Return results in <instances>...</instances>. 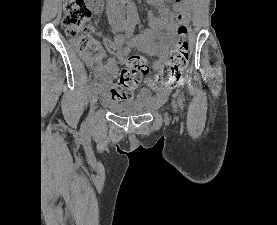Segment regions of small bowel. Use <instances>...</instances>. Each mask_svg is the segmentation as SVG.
<instances>
[{
  "instance_id": "1",
  "label": "small bowel",
  "mask_w": 277,
  "mask_h": 225,
  "mask_svg": "<svg viewBox=\"0 0 277 225\" xmlns=\"http://www.w3.org/2000/svg\"><path fill=\"white\" fill-rule=\"evenodd\" d=\"M149 4L161 8V17L150 18L149 27L146 31L133 38L116 37L114 41L104 39L106 51L113 56L105 63L103 59L106 52L101 51L95 55L81 52V59L93 70V78L98 89L105 95L112 79L117 74L118 61H122L126 52L122 49V44L127 43L129 47L136 48L149 55L157 57L154 63L156 70L160 69L166 60L168 47L175 39L173 13L163 7L164 0H147ZM89 5L96 12L100 13V6L97 0H89ZM174 8L181 10L186 19L189 18V11L185 6L174 4ZM147 83L155 91L157 102H164L170 91V87H157L153 79H148ZM147 91L144 89L143 94Z\"/></svg>"
}]
</instances>
